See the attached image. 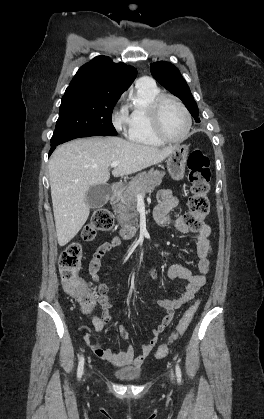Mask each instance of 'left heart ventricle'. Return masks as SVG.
Listing matches in <instances>:
<instances>
[{"mask_svg": "<svg viewBox=\"0 0 264 419\" xmlns=\"http://www.w3.org/2000/svg\"><path fill=\"white\" fill-rule=\"evenodd\" d=\"M161 124L166 135L177 138L186 129V118L179 106L171 100H166L161 109Z\"/></svg>", "mask_w": 264, "mask_h": 419, "instance_id": "left-heart-ventricle-1", "label": "left heart ventricle"}]
</instances>
